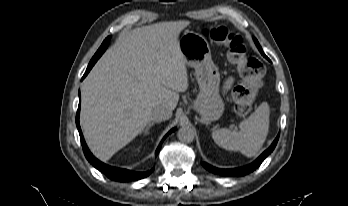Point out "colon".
I'll return each mask as SVG.
<instances>
[{"instance_id": "5ec220e1", "label": "colon", "mask_w": 348, "mask_h": 206, "mask_svg": "<svg viewBox=\"0 0 348 206\" xmlns=\"http://www.w3.org/2000/svg\"><path fill=\"white\" fill-rule=\"evenodd\" d=\"M203 35L214 43L225 46L230 60L238 66L241 81L232 91V100L237 114L248 115L254 105L256 91L262 84L264 64L248 54V47L242 36L226 27L205 29Z\"/></svg>"}]
</instances>
